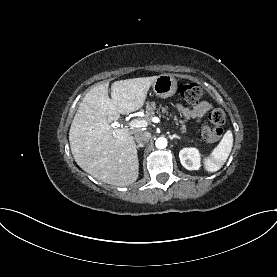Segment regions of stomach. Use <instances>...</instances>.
I'll return each mask as SVG.
<instances>
[{"instance_id":"obj_1","label":"stomach","mask_w":277,"mask_h":277,"mask_svg":"<svg viewBox=\"0 0 277 277\" xmlns=\"http://www.w3.org/2000/svg\"><path fill=\"white\" fill-rule=\"evenodd\" d=\"M153 91L160 98H167L175 94L177 90V81L170 74H162L152 84Z\"/></svg>"}]
</instances>
